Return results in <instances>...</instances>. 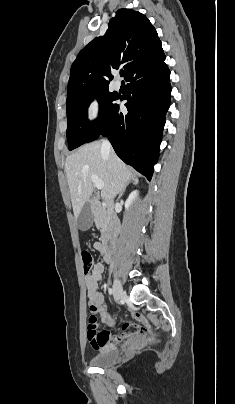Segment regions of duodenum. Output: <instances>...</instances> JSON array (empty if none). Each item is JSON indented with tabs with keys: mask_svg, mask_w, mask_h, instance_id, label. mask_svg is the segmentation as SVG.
<instances>
[{
	"mask_svg": "<svg viewBox=\"0 0 235 404\" xmlns=\"http://www.w3.org/2000/svg\"><path fill=\"white\" fill-rule=\"evenodd\" d=\"M102 242L105 250V260L108 262L110 261L111 254L117 245L116 221L114 219L112 220L111 227L103 235Z\"/></svg>",
	"mask_w": 235,
	"mask_h": 404,
	"instance_id": "duodenum-1",
	"label": "duodenum"
}]
</instances>
